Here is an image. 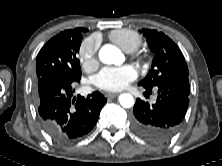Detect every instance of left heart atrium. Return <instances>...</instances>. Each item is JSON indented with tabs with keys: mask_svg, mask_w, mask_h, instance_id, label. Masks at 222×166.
I'll return each instance as SVG.
<instances>
[{
	"mask_svg": "<svg viewBox=\"0 0 222 166\" xmlns=\"http://www.w3.org/2000/svg\"><path fill=\"white\" fill-rule=\"evenodd\" d=\"M137 78V71L130 65L105 67L93 78L96 87L110 92L120 91Z\"/></svg>",
	"mask_w": 222,
	"mask_h": 166,
	"instance_id": "1",
	"label": "left heart atrium"
}]
</instances>
